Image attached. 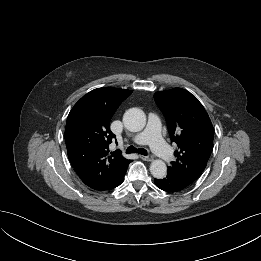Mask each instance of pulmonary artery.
<instances>
[{
	"label": "pulmonary artery",
	"instance_id": "e3ab8cb5",
	"mask_svg": "<svg viewBox=\"0 0 261 261\" xmlns=\"http://www.w3.org/2000/svg\"><path fill=\"white\" fill-rule=\"evenodd\" d=\"M133 141L137 144H150L152 150L163 161L172 159V152L161 136L160 120L155 114H150L144 131L134 136Z\"/></svg>",
	"mask_w": 261,
	"mask_h": 261
}]
</instances>
